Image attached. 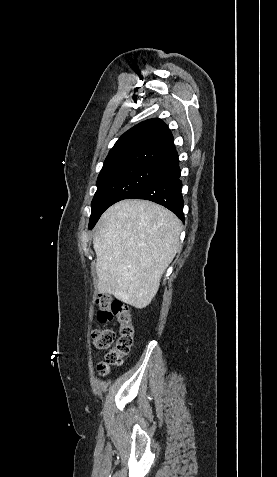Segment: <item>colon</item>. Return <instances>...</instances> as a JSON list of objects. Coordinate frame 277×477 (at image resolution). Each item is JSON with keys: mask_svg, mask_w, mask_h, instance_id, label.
Wrapping results in <instances>:
<instances>
[{"mask_svg": "<svg viewBox=\"0 0 277 477\" xmlns=\"http://www.w3.org/2000/svg\"><path fill=\"white\" fill-rule=\"evenodd\" d=\"M96 303L99 307L98 324L102 325L116 319L120 325V335L117 340H115V332L112 329L96 328L91 334L92 342L96 348L110 349L105 360L98 365V371L105 375L111 367L120 365L130 352L133 343V327L130 308L122 301L103 294L99 295Z\"/></svg>", "mask_w": 277, "mask_h": 477, "instance_id": "1", "label": "colon"}]
</instances>
